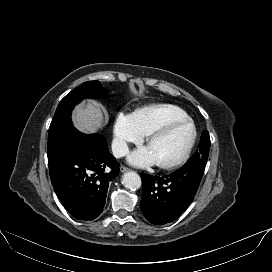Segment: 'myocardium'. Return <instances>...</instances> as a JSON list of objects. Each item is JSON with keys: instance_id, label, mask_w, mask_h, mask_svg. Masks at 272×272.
Masks as SVG:
<instances>
[{"instance_id": "myocardium-1", "label": "myocardium", "mask_w": 272, "mask_h": 272, "mask_svg": "<svg viewBox=\"0 0 272 272\" xmlns=\"http://www.w3.org/2000/svg\"><path fill=\"white\" fill-rule=\"evenodd\" d=\"M181 124H185V125L190 126V128L192 130L191 140H190L187 148L183 152V154L180 157H178L176 160H174L172 162H168V163H157V165L162 169H167V170L175 169V168L181 166L182 164H184L188 160V158L190 157V155L193 151V148L196 144V141H197L198 133H197L196 125L190 118L174 119V120L168 121V122L164 123L163 125L157 127L156 129L151 131L146 137V144L149 145V143L152 140H154L155 138L165 134L173 127H175L177 125H181Z\"/></svg>"}]
</instances>
